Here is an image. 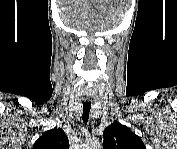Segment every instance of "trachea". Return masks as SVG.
I'll use <instances>...</instances> for the list:
<instances>
[{"mask_svg": "<svg viewBox=\"0 0 177 149\" xmlns=\"http://www.w3.org/2000/svg\"><path fill=\"white\" fill-rule=\"evenodd\" d=\"M91 110V103H84L83 104V114H82V120L84 123H87L88 119H89V113Z\"/></svg>", "mask_w": 177, "mask_h": 149, "instance_id": "trachea-1", "label": "trachea"}]
</instances>
